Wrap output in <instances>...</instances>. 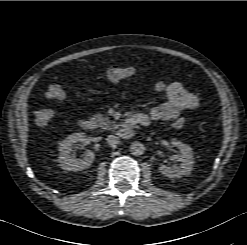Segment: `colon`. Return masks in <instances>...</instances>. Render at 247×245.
<instances>
[{"instance_id": "obj_1", "label": "colon", "mask_w": 247, "mask_h": 245, "mask_svg": "<svg viewBox=\"0 0 247 245\" xmlns=\"http://www.w3.org/2000/svg\"><path fill=\"white\" fill-rule=\"evenodd\" d=\"M136 73L135 68L133 67H120V66H112L106 70L104 73L105 79L111 82H117L123 79H127L132 77ZM46 97L51 100H62L65 98L66 93L64 89L57 84L50 85L46 90ZM35 121L39 126L48 125L53 117L54 113L52 110L47 108H39L35 110L34 113ZM186 123L184 118H178L173 122V126L175 128H182Z\"/></svg>"}]
</instances>
